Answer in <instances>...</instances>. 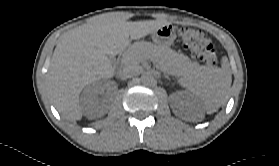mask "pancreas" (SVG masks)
Masks as SVG:
<instances>
[{
	"label": "pancreas",
	"mask_w": 279,
	"mask_h": 166,
	"mask_svg": "<svg viewBox=\"0 0 279 166\" xmlns=\"http://www.w3.org/2000/svg\"><path fill=\"white\" fill-rule=\"evenodd\" d=\"M148 58L157 59L161 69L171 75L189 73L197 66L184 54L144 41L132 45L131 49L123 56L122 64L127 68L138 69L140 62Z\"/></svg>",
	"instance_id": "pancreas-1"
}]
</instances>
